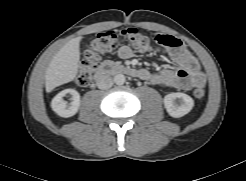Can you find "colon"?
<instances>
[{"label":"colon","instance_id":"obj_1","mask_svg":"<svg viewBox=\"0 0 246 181\" xmlns=\"http://www.w3.org/2000/svg\"><path fill=\"white\" fill-rule=\"evenodd\" d=\"M129 43L136 51L140 53L147 52L151 49V40L166 48H180V39L165 34H154L147 36L136 27H129L121 31L107 30L98 33L90 42L89 48L85 52L76 82L79 85H86L91 80L102 55L113 51L118 45L119 40ZM206 91L203 87H197L193 91L196 99L205 97Z\"/></svg>","mask_w":246,"mask_h":181}]
</instances>
